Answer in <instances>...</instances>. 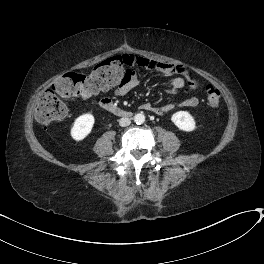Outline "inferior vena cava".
Segmentation results:
<instances>
[{
  "instance_id": "602c4592",
  "label": "inferior vena cava",
  "mask_w": 264,
  "mask_h": 264,
  "mask_svg": "<svg viewBox=\"0 0 264 264\" xmlns=\"http://www.w3.org/2000/svg\"><path fill=\"white\" fill-rule=\"evenodd\" d=\"M130 123H131V120L128 117H123L119 120V125L121 127H126V126L130 125Z\"/></svg>"
}]
</instances>
